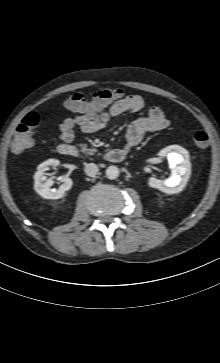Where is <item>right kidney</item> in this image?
<instances>
[{
    "instance_id": "ca27d5eb",
    "label": "right kidney",
    "mask_w": 220,
    "mask_h": 363,
    "mask_svg": "<svg viewBox=\"0 0 220 363\" xmlns=\"http://www.w3.org/2000/svg\"><path fill=\"white\" fill-rule=\"evenodd\" d=\"M60 164L57 159H49L38 166V171L34 175V189L45 199H60L64 196L65 192L71 189L73 181L71 178H66L64 183L58 189H52L50 186L53 184L51 179L46 180L45 171L50 167H55Z\"/></svg>"
}]
</instances>
